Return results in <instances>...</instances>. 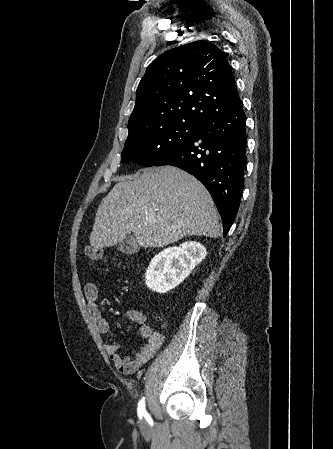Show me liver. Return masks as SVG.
Segmentation results:
<instances>
[{
  "label": "liver",
  "instance_id": "1",
  "mask_svg": "<svg viewBox=\"0 0 333 449\" xmlns=\"http://www.w3.org/2000/svg\"><path fill=\"white\" fill-rule=\"evenodd\" d=\"M100 203L90 234L94 249L117 245L133 232L142 247H163L185 236L216 238L217 210L204 185L173 166L119 177Z\"/></svg>",
  "mask_w": 333,
  "mask_h": 449
}]
</instances>
